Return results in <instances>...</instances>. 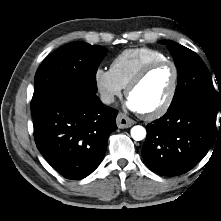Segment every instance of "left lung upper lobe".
I'll use <instances>...</instances> for the list:
<instances>
[{
    "label": "left lung upper lobe",
    "instance_id": "5c2ea615",
    "mask_svg": "<svg viewBox=\"0 0 221 221\" xmlns=\"http://www.w3.org/2000/svg\"><path fill=\"white\" fill-rule=\"evenodd\" d=\"M161 42L167 45L178 69V84L170 106L184 100L197 99L217 109L218 98L210 73L201 58L192 50L173 41Z\"/></svg>",
    "mask_w": 221,
    "mask_h": 221
}]
</instances>
